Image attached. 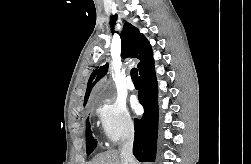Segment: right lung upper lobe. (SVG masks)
<instances>
[{"mask_svg": "<svg viewBox=\"0 0 251 164\" xmlns=\"http://www.w3.org/2000/svg\"><path fill=\"white\" fill-rule=\"evenodd\" d=\"M121 54L123 58L135 57L140 60L137 65L139 74L154 65L153 52L148 40L130 23H125L123 27L121 34ZM107 69L108 64L99 69L96 68L91 74L84 98V105L87 103L93 85L106 74ZM94 79L96 80L92 83Z\"/></svg>", "mask_w": 251, "mask_h": 164, "instance_id": "cb5924a9", "label": "right lung upper lobe"}]
</instances>
